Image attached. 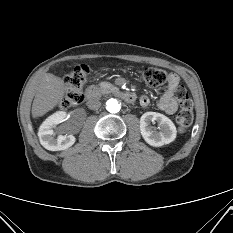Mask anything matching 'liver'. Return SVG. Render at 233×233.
Listing matches in <instances>:
<instances>
[{
    "label": "liver",
    "mask_w": 233,
    "mask_h": 233,
    "mask_svg": "<svg viewBox=\"0 0 233 233\" xmlns=\"http://www.w3.org/2000/svg\"><path fill=\"white\" fill-rule=\"evenodd\" d=\"M65 93L64 81L51 73H45L32 104L33 118L41 117L52 110L62 99Z\"/></svg>",
    "instance_id": "1"
}]
</instances>
